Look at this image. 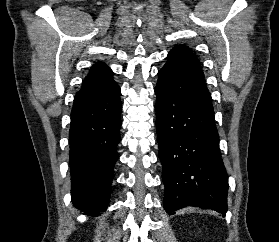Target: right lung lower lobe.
<instances>
[{
    "label": "right lung lower lobe",
    "instance_id": "1",
    "mask_svg": "<svg viewBox=\"0 0 279 242\" xmlns=\"http://www.w3.org/2000/svg\"><path fill=\"white\" fill-rule=\"evenodd\" d=\"M120 88L75 99L71 112L70 174L74 206L96 216L105 211L115 177L120 141Z\"/></svg>",
    "mask_w": 279,
    "mask_h": 242
}]
</instances>
